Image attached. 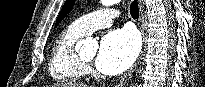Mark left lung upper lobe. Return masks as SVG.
Instances as JSON below:
<instances>
[{
	"mask_svg": "<svg viewBox=\"0 0 205 87\" xmlns=\"http://www.w3.org/2000/svg\"><path fill=\"white\" fill-rule=\"evenodd\" d=\"M74 3H75V0H66L65 4L63 5L57 17L55 26H57L62 21V19L71 11Z\"/></svg>",
	"mask_w": 205,
	"mask_h": 87,
	"instance_id": "obj_1",
	"label": "left lung upper lobe"
}]
</instances>
